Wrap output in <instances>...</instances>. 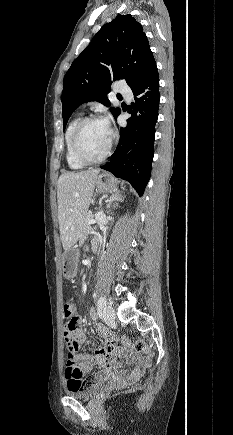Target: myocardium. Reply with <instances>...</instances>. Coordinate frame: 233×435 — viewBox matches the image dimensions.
Returning <instances> with one entry per match:
<instances>
[{
  "label": "myocardium",
  "mask_w": 233,
  "mask_h": 435,
  "mask_svg": "<svg viewBox=\"0 0 233 435\" xmlns=\"http://www.w3.org/2000/svg\"><path fill=\"white\" fill-rule=\"evenodd\" d=\"M97 121H103L104 119L101 118L100 116H96V115H90L87 117L82 118L76 125L74 131H73V135H72V145H73V150L77 156V158L82 161L85 164H89V165H93V164H98L103 162L105 159L108 158V156L111 153L113 144L115 142V135L112 133V131L110 130L111 133V137H110V141L108 143L107 149L106 151L99 157H91L84 149L82 142H81V134L82 131L84 130V128L86 127V125H88L89 123L92 122H97Z\"/></svg>",
  "instance_id": "f54148a6"
}]
</instances>
